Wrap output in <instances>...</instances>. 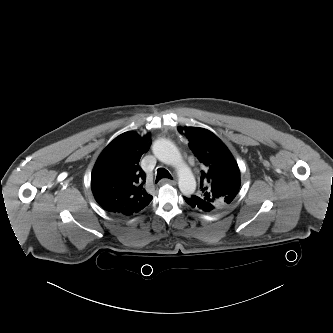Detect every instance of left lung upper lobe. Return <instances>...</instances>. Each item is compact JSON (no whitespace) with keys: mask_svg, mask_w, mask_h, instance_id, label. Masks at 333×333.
<instances>
[{"mask_svg":"<svg viewBox=\"0 0 333 333\" xmlns=\"http://www.w3.org/2000/svg\"><path fill=\"white\" fill-rule=\"evenodd\" d=\"M178 131L185 132L189 147L205 166L197 197L212 203L216 209L230 205L240 188V171L228 148L209 130L178 127Z\"/></svg>","mask_w":333,"mask_h":333,"instance_id":"left-lung-upper-lobe-1","label":"left lung upper lobe"}]
</instances>
